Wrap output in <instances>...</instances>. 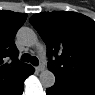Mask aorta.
Listing matches in <instances>:
<instances>
[{
    "instance_id": "762f6f07",
    "label": "aorta",
    "mask_w": 95,
    "mask_h": 95,
    "mask_svg": "<svg viewBox=\"0 0 95 95\" xmlns=\"http://www.w3.org/2000/svg\"><path fill=\"white\" fill-rule=\"evenodd\" d=\"M17 39L28 47L35 45L38 41L36 33L29 27H21L17 32ZM39 79L44 88H50L55 84V76L48 69L41 71Z\"/></svg>"
}]
</instances>
